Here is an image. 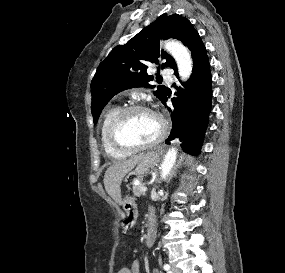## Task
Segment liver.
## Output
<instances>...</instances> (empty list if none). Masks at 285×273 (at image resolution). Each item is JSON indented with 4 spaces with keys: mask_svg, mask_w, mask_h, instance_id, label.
I'll list each match as a JSON object with an SVG mask.
<instances>
[{
    "mask_svg": "<svg viewBox=\"0 0 285 273\" xmlns=\"http://www.w3.org/2000/svg\"><path fill=\"white\" fill-rule=\"evenodd\" d=\"M144 157L143 154L134 156L128 160L114 162L105 172V190L113 200L122 204L120 185L124 176L131 171L136 164Z\"/></svg>",
    "mask_w": 285,
    "mask_h": 273,
    "instance_id": "1",
    "label": "liver"
}]
</instances>
